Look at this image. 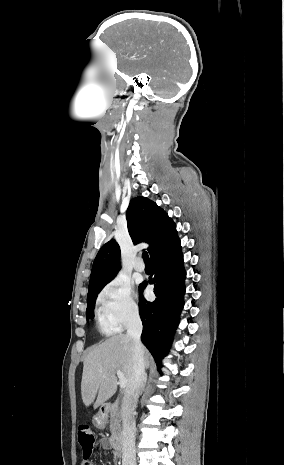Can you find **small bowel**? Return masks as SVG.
Wrapping results in <instances>:
<instances>
[{
  "instance_id": "small-bowel-1",
  "label": "small bowel",
  "mask_w": 284,
  "mask_h": 465,
  "mask_svg": "<svg viewBox=\"0 0 284 465\" xmlns=\"http://www.w3.org/2000/svg\"><path fill=\"white\" fill-rule=\"evenodd\" d=\"M98 445H100L104 449H108L109 446H110L109 441H108L106 436H101L98 439ZM112 457H113L114 460H116L118 458V453L116 451H113L112 452Z\"/></svg>"
}]
</instances>
